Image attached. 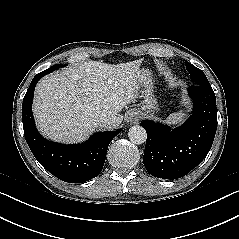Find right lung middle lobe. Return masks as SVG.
Here are the masks:
<instances>
[{
    "label": "right lung middle lobe",
    "instance_id": "right-lung-middle-lobe-1",
    "mask_svg": "<svg viewBox=\"0 0 239 239\" xmlns=\"http://www.w3.org/2000/svg\"><path fill=\"white\" fill-rule=\"evenodd\" d=\"M65 65H62V64H56V65H53L52 67H50L49 69H47V71L50 72H53L54 70L60 68V67H64Z\"/></svg>",
    "mask_w": 239,
    "mask_h": 239
}]
</instances>
